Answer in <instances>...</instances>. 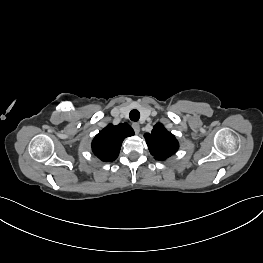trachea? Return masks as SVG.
<instances>
[{
    "label": "trachea",
    "instance_id": "obj_1",
    "mask_svg": "<svg viewBox=\"0 0 263 263\" xmlns=\"http://www.w3.org/2000/svg\"><path fill=\"white\" fill-rule=\"evenodd\" d=\"M129 117H130V119H131L132 121L136 122V121H138L139 118H140V113H139L138 110L133 109V110L130 112Z\"/></svg>",
    "mask_w": 263,
    "mask_h": 263
}]
</instances>
